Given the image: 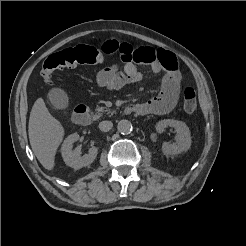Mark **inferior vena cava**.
Returning <instances> with one entry per match:
<instances>
[{
  "label": "inferior vena cava",
  "mask_w": 246,
  "mask_h": 246,
  "mask_svg": "<svg viewBox=\"0 0 246 246\" xmlns=\"http://www.w3.org/2000/svg\"><path fill=\"white\" fill-rule=\"evenodd\" d=\"M113 127V123L111 121H102L99 124V129L103 132H108Z\"/></svg>",
  "instance_id": "obj_1"
}]
</instances>
